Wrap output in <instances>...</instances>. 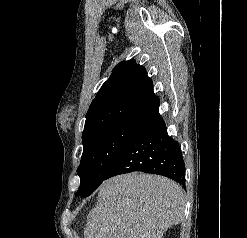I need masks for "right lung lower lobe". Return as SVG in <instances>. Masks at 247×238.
Wrapping results in <instances>:
<instances>
[{"instance_id":"obj_1","label":"right lung lower lobe","mask_w":247,"mask_h":238,"mask_svg":"<svg viewBox=\"0 0 247 238\" xmlns=\"http://www.w3.org/2000/svg\"><path fill=\"white\" fill-rule=\"evenodd\" d=\"M135 171L166 176L185 186L182 153L177 141L168 136L159 113L137 132L111 166L106 179Z\"/></svg>"}]
</instances>
